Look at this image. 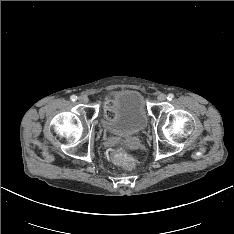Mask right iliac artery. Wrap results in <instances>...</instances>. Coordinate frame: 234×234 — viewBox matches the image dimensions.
<instances>
[{"label": "right iliac artery", "mask_w": 234, "mask_h": 234, "mask_svg": "<svg viewBox=\"0 0 234 234\" xmlns=\"http://www.w3.org/2000/svg\"><path fill=\"white\" fill-rule=\"evenodd\" d=\"M70 99H71L72 101H76V100H77V96L72 95V96L70 97Z\"/></svg>", "instance_id": "right-iliac-artery-1"}]
</instances>
